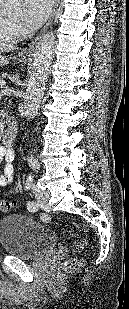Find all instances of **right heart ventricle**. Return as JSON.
Instances as JSON below:
<instances>
[{"label":"right heart ventricle","mask_w":129,"mask_h":309,"mask_svg":"<svg viewBox=\"0 0 129 309\" xmlns=\"http://www.w3.org/2000/svg\"><path fill=\"white\" fill-rule=\"evenodd\" d=\"M17 39L15 26L0 7V45L10 44Z\"/></svg>","instance_id":"obj_1"}]
</instances>
